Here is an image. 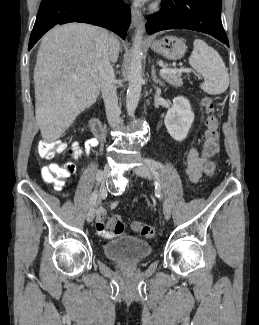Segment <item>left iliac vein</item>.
Returning a JSON list of instances; mask_svg holds the SVG:
<instances>
[{
	"instance_id": "4c4485c4",
	"label": "left iliac vein",
	"mask_w": 259,
	"mask_h": 325,
	"mask_svg": "<svg viewBox=\"0 0 259 325\" xmlns=\"http://www.w3.org/2000/svg\"><path fill=\"white\" fill-rule=\"evenodd\" d=\"M134 172L143 178L152 179V174L149 168L145 164H140L134 168ZM163 212L166 220L170 219L171 216V206L167 200L163 201Z\"/></svg>"
}]
</instances>
